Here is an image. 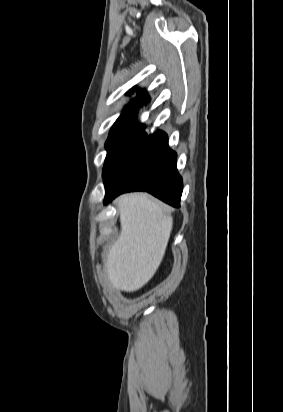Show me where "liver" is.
I'll return each mask as SVG.
<instances>
[{
	"mask_svg": "<svg viewBox=\"0 0 283 412\" xmlns=\"http://www.w3.org/2000/svg\"><path fill=\"white\" fill-rule=\"evenodd\" d=\"M121 233L109 250L106 269L116 290L133 292L156 273L173 227L166 205L144 193L118 198Z\"/></svg>",
	"mask_w": 283,
	"mask_h": 412,
	"instance_id": "1",
	"label": "liver"
}]
</instances>
